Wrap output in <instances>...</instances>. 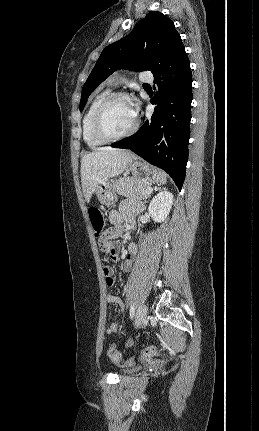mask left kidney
<instances>
[{
	"instance_id": "left-kidney-1",
	"label": "left kidney",
	"mask_w": 259,
	"mask_h": 431,
	"mask_svg": "<svg viewBox=\"0 0 259 431\" xmlns=\"http://www.w3.org/2000/svg\"><path fill=\"white\" fill-rule=\"evenodd\" d=\"M173 204V195L167 190L159 192L149 204L148 211L155 222H162L168 216Z\"/></svg>"
}]
</instances>
